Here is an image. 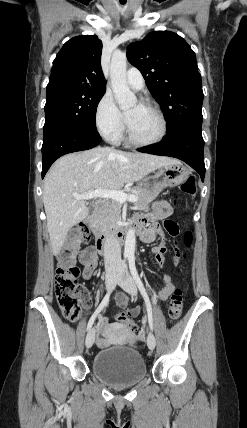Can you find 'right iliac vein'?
I'll return each mask as SVG.
<instances>
[{"mask_svg":"<svg viewBox=\"0 0 247 428\" xmlns=\"http://www.w3.org/2000/svg\"><path fill=\"white\" fill-rule=\"evenodd\" d=\"M117 278V273L116 271H110L107 273L106 275V288L108 291H111L114 286H115V281ZM95 340V329L92 328L90 329V331L88 332L87 336H86V340H85V345L87 348H90Z\"/></svg>","mask_w":247,"mask_h":428,"instance_id":"right-iliac-vein-1","label":"right iliac vein"}]
</instances>
